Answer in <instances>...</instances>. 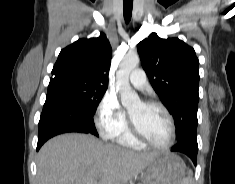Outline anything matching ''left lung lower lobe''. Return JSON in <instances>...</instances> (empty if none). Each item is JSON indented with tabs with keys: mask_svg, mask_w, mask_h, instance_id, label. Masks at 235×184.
<instances>
[{
	"mask_svg": "<svg viewBox=\"0 0 235 184\" xmlns=\"http://www.w3.org/2000/svg\"><path fill=\"white\" fill-rule=\"evenodd\" d=\"M171 150L186 154L187 156L191 158L194 165H196L198 146H192L188 144H176Z\"/></svg>",
	"mask_w": 235,
	"mask_h": 184,
	"instance_id": "0a47b994",
	"label": "left lung lower lobe"
}]
</instances>
